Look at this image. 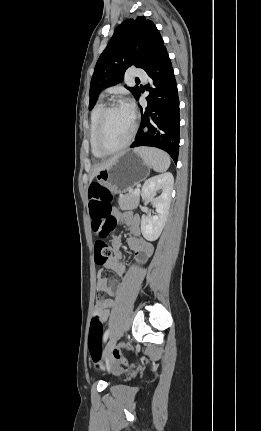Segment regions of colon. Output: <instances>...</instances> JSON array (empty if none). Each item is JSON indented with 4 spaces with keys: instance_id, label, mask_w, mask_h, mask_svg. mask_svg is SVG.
<instances>
[{
    "instance_id": "obj_1",
    "label": "colon",
    "mask_w": 261,
    "mask_h": 431,
    "mask_svg": "<svg viewBox=\"0 0 261 431\" xmlns=\"http://www.w3.org/2000/svg\"><path fill=\"white\" fill-rule=\"evenodd\" d=\"M89 212L92 218V228L94 233L100 238L95 243V262L102 265L114 256V250L102 239L111 235L116 228V219L112 215V196L108 189L98 182H94L89 187ZM102 292L97 293V303L105 301ZM103 323L97 314L91 320L89 331V352L92 359L98 361L101 353V340L103 333ZM126 352L131 348L127 343L122 345ZM117 346L119 349L122 347ZM108 361L113 366H126L128 359L123 357L121 350H114L108 356ZM113 366H108V371H113Z\"/></svg>"
}]
</instances>
